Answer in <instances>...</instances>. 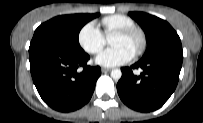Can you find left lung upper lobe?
I'll use <instances>...</instances> for the list:
<instances>
[{
  "label": "left lung upper lobe",
  "instance_id": "obj_1",
  "mask_svg": "<svg viewBox=\"0 0 203 123\" xmlns=\"http://www.w3.org/2000/svg\"><path fill=\"white\" fill-rule=\"evenodd\" d=\"M129 15L145 31L148 46L142 58L156 53L182 48L180 38L168 22L144 12H130Z\"/></svg>",
  "mask_w": 203,
  "mask_h": 123
}]
</instances>
